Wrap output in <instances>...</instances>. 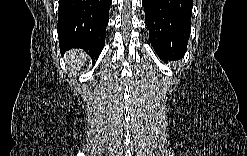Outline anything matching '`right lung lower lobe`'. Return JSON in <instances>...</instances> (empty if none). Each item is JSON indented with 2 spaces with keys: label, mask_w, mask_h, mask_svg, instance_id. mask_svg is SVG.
Here are the masks:
<instances>
[{
  "label": "right lung lower lobe",
  "mask_w": 247,
  "mask_h": 156,
  "mask_svg": "<svg viewBox=\"0 0 247 156\" xmlns=\"http://www.w3.org/2000/svg\"><path fill=\"white\" fill-rule=\"evenodd\" d=\"M112 0H60L58 38L61 53L83 49L97 59L104 48Z\"/></svg>",
  "instance_id": "right-lung-lower-lobe-1"
}]
</instances>
